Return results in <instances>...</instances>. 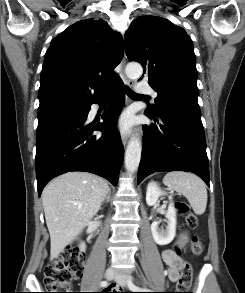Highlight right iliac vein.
<instances>
[{
    "mask_svg": "<svg viewBox=\"0 0 245 293\" xmlns=\"http://www.w3.org/2000/svg\"><path fill=\"white\" fill-rule=\"evenodd\" d=\"M115 271L112 270V269H107L106 272H105V277L107 280H112L115 276Z\"/></svg>",
    "mask_w": 245,
    "mask_h": 293,
    "instance_id": "63e3f726",
    "label": "right iliac vein"
}]
</instances>
